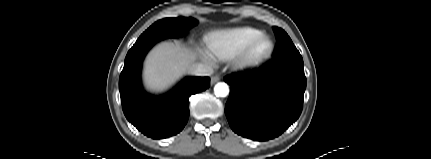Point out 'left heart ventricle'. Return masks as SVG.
<instances>
[{
	"instance_id": "1",
	"label": "left heart ventricle",
	"mask_w": 431,
	"mask_h": 159,
	"mask_svg": "<svg viewBox=\"0 0 431 159\" xmlns=\"http://www.w3.org/2000/svg\"><path fill=\"white\" fill-rule=\"evenodd\" d=\"M265 43H263L261 46H260V48L262 49V48H264L265 47Z\"/></svg>"
}]
</instances>
